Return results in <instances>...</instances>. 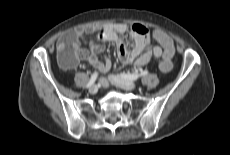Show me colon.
<instances>
[{"mask_svg":"<svg viewBox=\"0 0 230 155\" xmlns=\"http://www.w3.org/2000/svg\"><path fill=\"white\" fill-rule=\"evenodd\" d=\"M174 52L168 49L161 61L159 67L161 71L168 72L172 68L171 58ZM87 57V52L85 50H76L72 45V42L62 43L57 49V60L64 68L73 67L79 59H84Z\"/></svg>","mask_w":230,"mask_h":155,"instance_id":"obj_1","label":"colon"}]
</instances>
